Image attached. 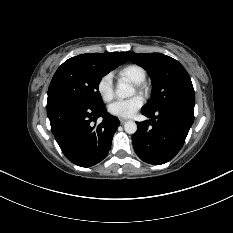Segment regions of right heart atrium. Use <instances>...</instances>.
Here are the masks:
<instances>
[{
  "mask_svg": "<svg viewBox=\"0 0 233 233\" xmlns=\"http://www.w3.org/2000/svg\"><path fill=\"white\" fill-rule=\"evenodd\" d=\"M96 90L104 102H109L114 97V84L112 75L107 73L99 78Z\"/></svg>",
  "mask_w": 233,
  "mask_h": 233,
  "instance_id": "right-heart-atrium-1",
  "label": "right heart atrium"
}]
</instances>
